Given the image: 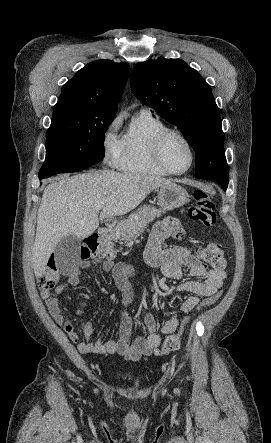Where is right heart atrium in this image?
I'll list each match as a JSON object with an SVG mask.
<instances>
[{
	"label": "right heart atrium",
	"mask_w": 271,
	"mask_h": 443,
	"mask_svg": "<svg viewBox=\"0 0 271 443\" xmlns=\"http://www.w3.org/2000/svg\"><path fill=\"white\" fill-rule=\"evenodd\" d=\"M123 122V114L117 113L106 126L102 135V149L104 158L110 165H116L121 153L122 143L118 131Z\"/></svg>",
	"instance_id": "obj_1"
}]
</instances>
